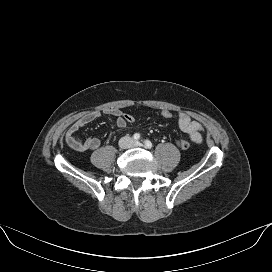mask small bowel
Here are the masks:
<instances>
[{
  "label": "small bowel",
  "instance_id": "1",
  "mask_svg": "<svg viewBox=\"0 0 272 272\" xmlns=\"http://www.w3.org/2000/svg\"><path fill=\"white\" fill-rule=\"evenodd\" d=\"M104 113L112 115L116 118L115 124L118 128L126 127L127 122L124 120L123 113L120 110L107 109L104 111ZM101 115L102 112L100 111H92L82 115L75 122H73L66 132L65 139L67 144L77 151H89L98 149L100 146L99 139L94 137L82 139L77 135V132L87 124L100 118ZM177 121L180 130L186 133L192 142L196 144H200L202 142L203 127L198 121L194 120L185 112L178 113Z\"/></svg>",
  "mask_w": 272,
  "mask_h": 272
}]
</instances>
